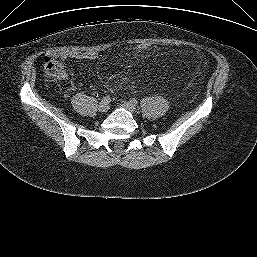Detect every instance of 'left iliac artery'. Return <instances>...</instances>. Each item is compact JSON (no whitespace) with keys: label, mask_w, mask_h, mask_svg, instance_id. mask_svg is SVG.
<instances>
[{"label":"left iliac artery","mask_w":257,"mask_h":257,"mask_svg":"<svg viewBox=\"0 0 257 257\" xmlns=\"http://www.w3.org/2000/svg\"><path fill=\"white\" fill-rule=\"evenodd\" d=\"M130 102H131L133 105H137V104H138V101H137L135 98L130 99Z\"/></svg>","instance_id":"left-iliac-artery-1"}]
</instances>
